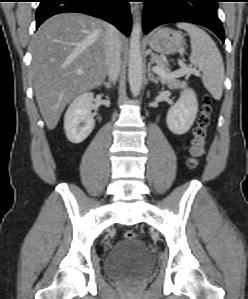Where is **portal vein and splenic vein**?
I'll return each mask as SVG.
<instances>
[{"label": "portal vein and splenic vein", "instance_id": "18ae733b", "mask_svg": "<svg viewBox=\"0 0 248 299\" xmlns=\"http://www.w3.org/2000/svg\"><path fill=\"white\" fill-rule=\"evenodd\" d=\"M153 71L162 77H170V78H179L186 74L195 73V69L189 68L186 65L182 64L181 68L173 73L166 74L161 67H154Z\"/></svg>", "mask_w": 248, "mask_h": 299}]
</instances>
